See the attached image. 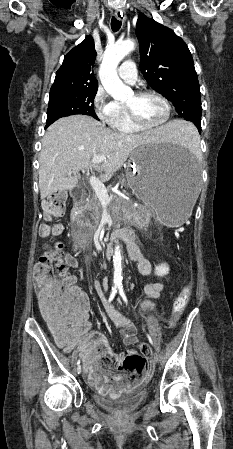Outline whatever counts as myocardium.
Listing matches in <instances>:
<instances>
[{
    "label": "myocardium",
    "mask_w": 233,
    "mask_h": 449,
    "mask_svg": "<svg viewBox=\"0 0 233 449\" xmlns=\"http://www.w3.org/2000/svg\"><path fill=\"white\" fill-rule=\"evenodd\" d=\"M134 95L137 98H140V97H143V96H149V95L155 96L156 98H158L159 100H161L164 103L165 109H166L165 110V116H164V118L161 121H159L158 123H154V124H148V123L143 122L138 117V115L136 114V112H135V110H134V108L132 106L125 104L124 106H125V109H126V111L128 113V116H129L130 120L136 126H138L139 128H141L143 130L144 129L145 130H150V129L159 128V127L165 125L168 122V120L170 118V115H171V104L167 100L166 97H164L162 94H160L159 92H156L154 90H141V91L135 92Z\"/></svg>",
    "instance_id": "obj_1"
}]
</instances>
